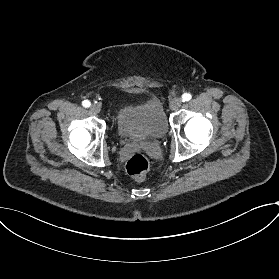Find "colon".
Wrapping results in <instances>:
<instances>
[{
    "label": "colon",
    "mask_w": 279,
    "mask_h": 279,
    "mask_svg": "<svg viewBox=\"0 0 279 279\" xmlns=\"http://www.w3.org/2000/svg\"><path fill=\"white\" fill-rule=\"evenodd\" d=\"M150 165L148 157L143 154L136 153L128 159L125 168L129 175L141 179L148 172Z\"/></svg>",
    "instance_id": "colon-1"
}]
</instances>
